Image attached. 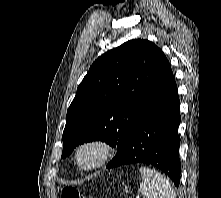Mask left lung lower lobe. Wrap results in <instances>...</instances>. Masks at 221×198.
I'll list each match as a JSON object with an SVG mask.
<instances>
[{
	"label": "left lung lower lobe",
	"instance_id": "left-lung-lower-lobe-1",
	"mask_svg": "<svg viewBox=\"0 0 221 198\" xmlns=\"http://www.w3.org/2000/svg\"><path fill=\"white\" fill-rule=\"evenodd\" d=\"M180 120L179 97L172 73L159 99L107 164V168L132 163L153 165L178 186L181 172L178 135Z\"/></svg>",
	"mask_w": 221,
	"mask_h": 198
}]
</instances>
